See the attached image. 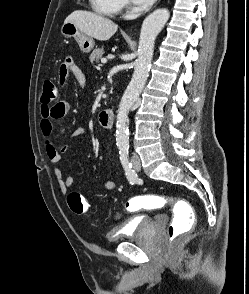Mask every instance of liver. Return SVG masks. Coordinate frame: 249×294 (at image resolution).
<instances>
[{"label": "liver", "instance_id": "liver-1", "mask_svg": "<svg viewBox=\"0 0 249 294\" xmlns=\"http://www.w3.org/2000/svg\"><path fill=\"white\" fill-rule=\"evenodd\" d=\"M65 22L74 23L81 32L99 41L110 39L118 29L110 19L85 10L72 12Z\"/></svg>", "mask_w": 249, "mask_h": 294}]
</instances>
